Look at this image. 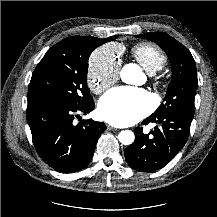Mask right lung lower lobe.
I'll return each instance as SVG.
<instances>
[{"label":"right lung lower lobe","mask_w":217,"mask_h":217,"mask_svg":"<svg viewBox=\"0 0 217 217\" xmlns=\"http://www.w3.org/2000/svg\"><path fill=\"white\" fill-rule=\"evenodd\" d=\"M95 107L94 101L75 107L62 104H41L27 108L33 143L41 159L61 173L85 168L93 157L96 143L106 126L91 119L73 122Z\"/></svg>","instance_id":"1"}]
</instances>
